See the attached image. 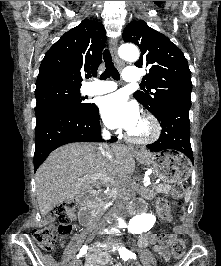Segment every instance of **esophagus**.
I'll return each mask as SVG.
<instances>
[{
    "label": "esophagus",
    "mask_w": 221,
    "mask_h": 266,
    "mask_svg": "<svg viewBox=\"0 0 221 266\" xmlns=\"http://www.w3.org/2000/svg\"><path fill=\"white\" fill-rule=\"evenodd\" d=\"M110 44H111L110 52L113 57V60L116 63L118 69L121 70L124 67V63L121 61V59L117 54V42L116 40H111ZM143 152L144 151L140 150L138 153H143Z\"/></svg>",
    "instance_id": "esophagus-1"
}]
</instances>
